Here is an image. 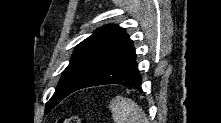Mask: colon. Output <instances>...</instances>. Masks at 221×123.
Returning a JSON list of instances; mask_svg holds the SVG:
<instances>
[{"instance_id": "colon-1", "label": "colon", "mask_w": 221, "mask_h": 123, "mask_svg": "<svg viewBox=\"0 0 221 123\" xmlns=\"http://www.w3.org/2000/svg\"><path fill=\"white\" fill-rule=\"evenodd\" d=\"M58 123H88V121L85 120L84 118H81L80 116L71 115V116L60 118L58 120Z\"/></svg>"}]
</instances>
